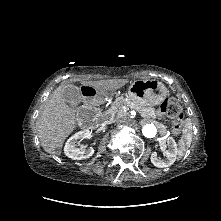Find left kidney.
<instances>
[{
  "label": "left kidney",
  "instance_id": "1",
  "mask_svg": "<svg viewBox=\"0 0 221 221\" xmlns=\"http://www.w3.org/2000/svg\"><path fill=\"white\" fill-rule=\"evenodd\" d=\"M161 145L163 147H167L168 149L165 151V159H160L158 156H157V153L156 152H153L151 154V163L158 167V168H166V167H169L171 166L176 158H177V155H178V148H177V144L175 142V140L173 139V137H168L164 140L161 141Z\"/></svg>",
  "mask_w": 221,
  "mask_h": 221
}]
</instances>
